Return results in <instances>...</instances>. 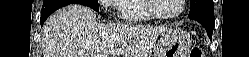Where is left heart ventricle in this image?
<instances>
[{
    "instance_id": "1",
    "label": "left heart ventricle",
    "mask_w": 249,
    "mask_h": 57,
    "mask_svg": "<svg viewBox=\"0 0 249 57\" xmlns=\"http://www.w3.org/2000/svg\"><path fill=\"white\" fill-rule=\"evenodd\" d=\"M156 11L162 14L176 13L180 8L179 0H156Z\"/></svg>"
}]
</instances>
